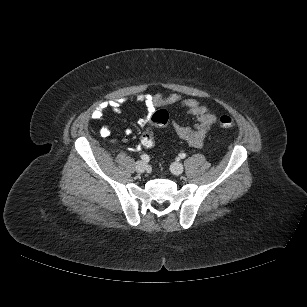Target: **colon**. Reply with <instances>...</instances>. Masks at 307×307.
<instances>
[{"mask_svg": "<svg viewBox=\"0 0 307 307\" xmlns=\"http://www.w3.org/2000/svg\"><path fill=\"white\" fill-rule=\"evenodd\" d=\"M152 126L159 127L164 126L169 121V114L165 109L155 111L151 116ZM219 125L222 128H232L234 121L230 116L223 115L219 118ZM141 145L145 148H152L155 144V138L153 128H147L141 135Z\"/></svg>", "mask_w": 307, "mask_h": 307, "instance_id": "1", "label": "colon"}]
</instances>
